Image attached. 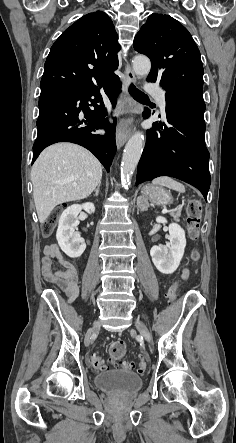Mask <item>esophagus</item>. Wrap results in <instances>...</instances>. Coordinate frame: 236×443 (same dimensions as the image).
<instances>
[{
    "label": "esophagus",
    "instance_id": "obj_1",
    "mask_svg": "<svg viewBox=\"0 0 236 443\" xmlns=\"http://www.w3.org/2000/svg\"><path fill=\"white\" fill-rule=\"evenodd\" d=\"M125 75L127 77V83L125 84V89L127 90V86L129 83L136 82V76L130 65L127 64L125 67ZM133 122V117H129L127 119H122L118 125L116 130V145L117 148H121L124 143L128 140L131 135V127L130 124Z\"/></svg>",
    "mask_w": 236,
    "mask_h": 443
}]
</instances>
